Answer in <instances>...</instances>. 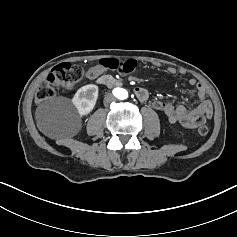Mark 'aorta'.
Returning <instances> with one entry per match:
<instances>
[{
	"mask_svg": "<svg viewBox=\"0 0 237 237\" xmlns=\"http://www.w3.org/2000/svg\"><path fill=\"white\" fill-rule=\"evenodd\" d=\"M128 98V91L124 88L119 89V99L125 100Z\"/></svg>",
	"mask_w": 237,
	"mask_h": 237,
	"instance_id": "obj_1",
	"label": "aorta"
}]
</instances>
